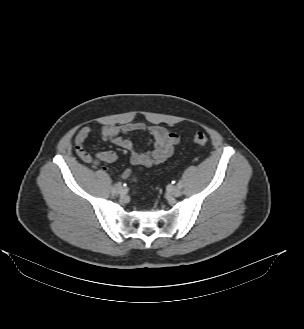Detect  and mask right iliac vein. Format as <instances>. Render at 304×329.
<instances>
[{"label":"right iliac vein","mask_w":304,"mask_h":329,"mask_svg":"<svg viewBox=\"0 0 304 329\" xmlns=\"http://www.w3.org/2000/svg\"><path fill=\"white\" fill-rule=\"evenodd\" d=\"M123 191V186L120 183L116 184V193H121Z\"/></svg>","instance_id":"right-iliac-vein-1"}]
</instances>
